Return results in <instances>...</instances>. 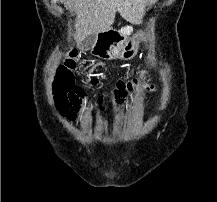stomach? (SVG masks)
<instances>
[{
  "label": "stomach",
  "instance_id": "stomach-1",
  "mask_svg": "<svg viewBox=\"0 0 217 202\" xmlns=\"http://www.w3.org/2000/svg\"><path fill=\"white\" fill-rule=\"evenodd\" d=\"M139 40L146 42V36L143 32H136L132 38H125L119 48L120 60H132L136 56L139 48Z\"/></svg>",
  "mask_w": 217,
  "mask_h": 202
}]
</instances>
